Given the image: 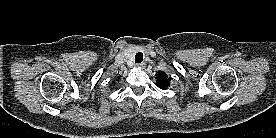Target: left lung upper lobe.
I'll return each instance as SVG.
<instances>
[{"mask_svg": "<svg viewBox=\"0 0 276 138\" xmlns=\"http://www.w3.org/2000/svg\"><path fill=\"white\" fill-rule=\"evenodd\" d=\"M156 76V86L165 90L170 85L171 78H168L167 74L163 71H160Z\"/></svg>", "mask_w": 276, "mask_h": 138, "instance_id": "1", "label": "left lung upper lobe"}]
</instances>
